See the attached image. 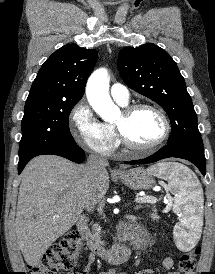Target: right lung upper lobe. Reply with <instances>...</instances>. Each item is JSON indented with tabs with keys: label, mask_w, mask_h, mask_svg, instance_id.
<instances>
[{
	"label": "right lung upper lobe",
	"mask_w": 215,
	"mask_h": 274,
	"mask_svg": "<svg viewBox=\"0 0 215 274\" xmlns=\"http://www.w3.org/2000/svg\"><path fill=\"white\" fill-rule=\"evenodd\" d=\"M97 60V51L67 44L42 65L26 102L64 101L78 103Z\"/></svg>",
	"instance_id": "cb5924a9"
}]
</instances>
